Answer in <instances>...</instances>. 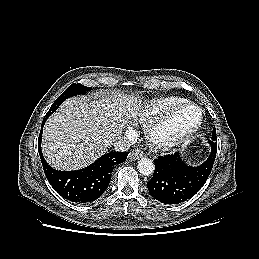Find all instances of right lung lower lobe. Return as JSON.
<instances>
[{
	"mask_svg": "<svg viewBox=\"0 0 259 259\" xmlns=\"http://www.w3.org/2000/svg\"><path fill=\"white\" fill-rule=\"evenodd\" d=\"M49 116L45 115L38 138V151L48 181L61 196L70 201L86 203L96 200L107 189L112 170L126 160L128 152L107 153L90 166L77 171L54 170L46 163L41 151V133Z\"/></svg>",
	"mask_w": 259,
	"mask_h": 259,
	"instance_id": "1",
	"label": "right lung lower lobe"
}]
</instances>
